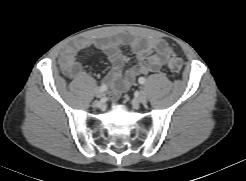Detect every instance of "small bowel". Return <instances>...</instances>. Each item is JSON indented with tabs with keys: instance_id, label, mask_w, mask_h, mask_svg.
Returning <instances> with one entry per match:
<instances>
[{
	"instance_id": "1",
	"label": "small bowel",
	"mask_w": 246,
	"mask_h": 181,
	"mask_svg": "<svg viewBox=\"0 0 246 181\" xmlns=\"http://www.w3.org/2000/svg\"><path fill=\"white\" fill-rule=\"evenodd\" d=\"M123 45L129 46L136 58V63L125 73L123 68L129 57L122 52ZM92 48L104 52L112 63V70L103 79L105 84L112 87V99H117L125 92L139 75L160 71L171 52L164 40L156 38L144 39L125 34L115 35L108 40L80 38L67 44L61 52L60 66L64 75L74 79L80 77L82 65L77 60V54Z\"/></svg>"
}]
</instances>
